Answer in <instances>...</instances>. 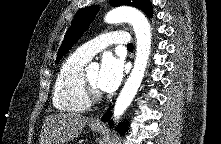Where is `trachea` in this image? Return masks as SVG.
Masks as SVG:
<instances>
[{
	"label": "trachea",
	"mask_w": 221,
	"mask_h": 144,
	"mask_svg": "<svg viewBox=\"0 0 221 144\" xmlns=\"http://www.w3.org/2000/svg\"><path fill=\"white\" fill-rule=\"evenodd\" d=\"M133 48H134V46H133L132 43H129V44L127 45V49L133 50Z\"/></svg>",
	"instance_id": "1"
}]
</instances>
